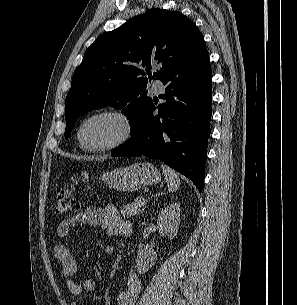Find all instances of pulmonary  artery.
I'll list each match as a JSON object with an SVG mask.
<instances>
[{
	"label": "pulmonary artery",
	"mask_w": 297,
	"mask_h": 305,
	"mask_svg": "<svg viewBox=\"0 0 297 305\" xmlns=\"http://www.w3.org/2000/svg\"><path fill=\"white\" fill-rule=\"evenodd\" d=\"M152 90L155 93H162L164 90V85L162 84L161 81H154L152 84Z\"/></svg>",
	"instance_id": "pulmonary-artery-1"
}]
</instances>
